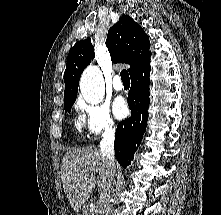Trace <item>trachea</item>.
<instances>
[{
    "mask_svg": "<svg viewBox=\"0 0 221 215\" xmlns=\"http://www.w3.org/2000/svg\"><path fill=\"white\" fill-rule=\"evenodd\" d=\"M120 76L123 83H130L129 74L126 70H122Z\"/></svg>",
    "mask_w": 221,
    "mask_h": 215,
    "instance_id": "1",
    "label": "trachea"
}]
</instances>
